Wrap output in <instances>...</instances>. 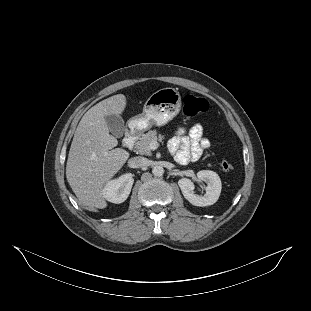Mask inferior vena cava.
Returning <instances> with one entry per match:
<instances>
[{
    "label": "inferior vena cava",
    "mask_w": 311,
    "mask_h": 311,
    "mask_svg": "<svg viewBox=\"0 0 311 311\" xmlns=\"http://www.w3.org/2000/svg\"><path fill=\"white\" fill-rule=\"evenodd\" d=\"M148 163V159L141 156H136L128 160V166L131 168L145 167L148 165Z\"/></svg>",
    "instance_id": "obj_1"
}]
</instances>
